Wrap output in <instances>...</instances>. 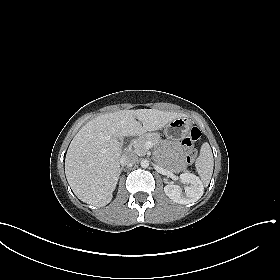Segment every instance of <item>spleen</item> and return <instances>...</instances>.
I'll use <instances>...</instances> for the list:
<instances>
[{
	"label": "spleen",
	"instance_id": "1",
	"mask_svg": "<svg viewBox=\"0 0 280 280\" xmlns=\"http://www.w3.org/2000/svg\"><path fill=\"white\" fill-rule=\"evenodd\" d=\"M196 170L205 186H208L213 173L214 159L210 145L205 142L195 163Z\"/></svg>",
	"mask_w": 280,
	"mask_h": 280
}]
</instances>
